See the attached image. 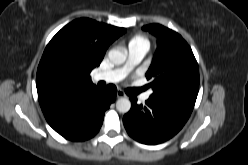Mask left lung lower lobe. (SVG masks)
<instances>
[{
    "instance_id": "1",
    "label": "left lung lower lobe",
    "mask_w": 248,
    "mask_h": 165,
    "mask_svg": "<svg viewBox=\"0 0 248 165\" xmlns=\"http://www.w3.org/2000/svg\"><path fill=\"white\" fill-rule=\"evenodd\" d=\"M130 100L131 109L123 117L125 129L136 141L148 145L172 138L192 112L153 99H148L145 105H138L136 98Z\"/></svg>"
}]
</instances>
